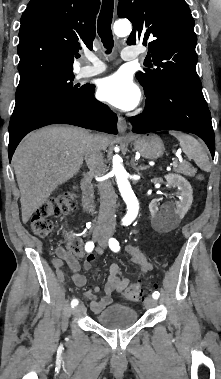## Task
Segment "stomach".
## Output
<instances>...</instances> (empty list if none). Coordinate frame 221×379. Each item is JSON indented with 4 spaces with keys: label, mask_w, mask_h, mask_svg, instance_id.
I'll use <instances>...</instances> for the list:
<instances>
[{
    "label": "stomach",
    "mask_w": 221,
    "mask_h": 379,
    "mask_svg": "<svg viewBox=\"0 0 221 379\" xmlns=\"http://www.w3.org/2000/svg\"><path fill=\"white\" fill-rule=\"evenodd\" d=\"M134 148L144 158L157 159L165 151L161 138L155 134L140 136L134 139Z\"/></svg>",
    "instance_id": "stomach-1"
}]
</instances>
